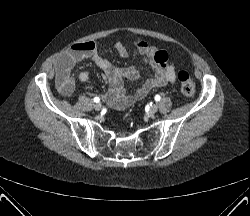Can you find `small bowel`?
I'll return each mask as SVG.
<instances>
[{
    "label": "small bowel",
    "mask_w": 250,
    "mask_h": 216,
    "mask_svg": "<svg viewBox=\"0 0 250 216\" xmlns=\"http://www.w3.org/2000/svg\"><path fill=\"white\" fill-rule=\"evenodd\" d=\"M135 44L143 55L145 64L150 68L151 74L141 82L134 95L126 94L124 82L125 80L138 81L140 79L139 71L135 67H114L107 58L98 53L96 45L92 41L75 44L58 58L56 63L58 90L66 96L73 93L75 81L70 71L74 64L86 58H91L104 71L109 84L106 98L118 110L125 109L135 101L144 98L154 88L175 84V65L170 61L169 54L149 45L144 40H137ZM115 48L121 57H127L128 51L123 43L116 42ZM78 79L81 83L88 82V72H81Z\"/></svg>",
    "instance_id": "c3829d8e"
}]
</instances>
